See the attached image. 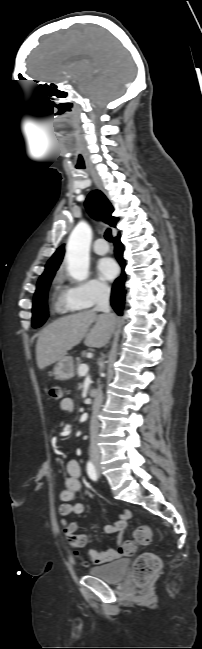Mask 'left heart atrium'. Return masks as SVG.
<instances>
[{
	"instance_id": "left-heart-atrium-1",
	"label": "left heart atrium",
	"mask_w": 202,
	"mask_h": 649,
	"mask_svg": "<svg viewBox=\"0 0 202 649\" xmlns=\"http://www.w3.org/2000/svg\"><path fill=\"white\" fill-rule=\"evenodd\" d=\"M97 269L99 276L105 280H111L117 273L116 264L110 258L100 260Z\"/></svg>"
}]
</instances>
